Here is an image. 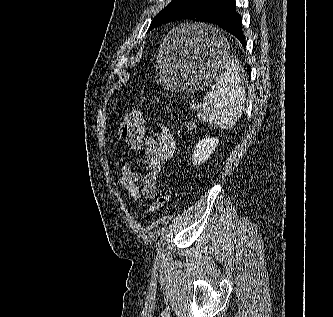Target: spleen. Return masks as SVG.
<instances>
[{
	"label": "spleen",
	"instance_id": "spleen-1",
	"mask_svg": "<svg viewBox=\"0 0 333 317\" xmlns=\"http://www.w3.org/2000/svg\"><path fill=\"white\" fill-rule=\"evenodd\" d=\"M191 28L190 25H187ZM194 29H197L196 24ZM209 38L218 46L227 48V40L220 31L209 27ZM246 99L245 88L241 81V67L237 59L227 57L223 70L216 78L215 84L204 96L205 105L197 113L200 121L215 124L223 129L233 127L242 115Z\"/></svg>",
	"mask_w": 333,
	"mask_h": 317
}]
</instances>
